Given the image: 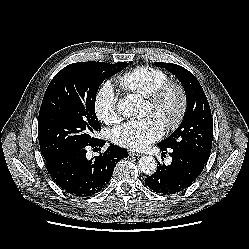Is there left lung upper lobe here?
<instances>
[{
  "label": "left lung upper lobe",
  "mask_w": 249,
  "mask_h": 249,
  "mask_svg": "<svg viewBox=\"0 0 249 249\" xmlns=\"http://www.w3.org/2000/svg\"><path fill=\"white\" fill-rule=\"evenodd\" d=\"M174 74L184 87L187 109L177 130L158 143L167 149L189 152L205 162L213 139V120L207 97L197 78L187 69L172 63L155 62Z\"/></svg>",
  "instance_id": "5c2ea615"
}]
</instances>
